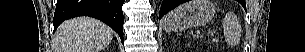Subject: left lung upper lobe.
Returning a JSON list of instances; mask_svg holds the SVG:
<instances>
[{
	"mask_svg": "<svg viewBox=\"0 0 305 52\" xmlns=\"http://www.w3.org/2000/svg\"><path fill=\"white\" fill-rule=\"evenodd\" d=\"M240 3H241L243 6H245V3H244V2H241V1H240Z\"/></svg>",
	"mask_w": 305,
	"mask_h": 52,
	"instance_id": "obj_1",
	"label": "left lung upper lobe"
}]
</instances>
